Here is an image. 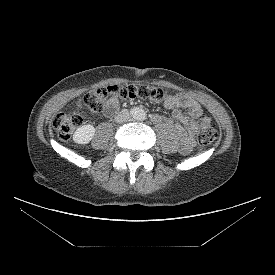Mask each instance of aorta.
<instances>
[{"mask_svg":"<svg viewBox=\"0 0 275 275\" xmlns=\"http://www.w3.org/2000/svg\"><path fill=\"white\" fill-rule=\"evenodd\" d=\"M130 114L133 117V119L138 120V121L143 120L145 118L144 110L139 107L132 108L130 111Z\"/></svg>","mask_w":275,"mask_h":275,"instance_id":"762f6f07","label":"aorta"}]
</instances>
